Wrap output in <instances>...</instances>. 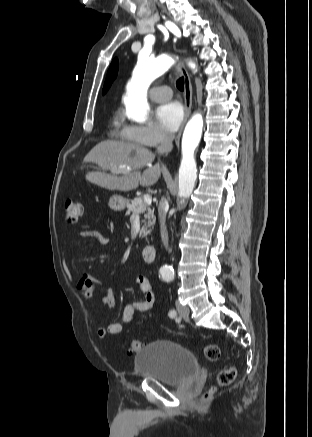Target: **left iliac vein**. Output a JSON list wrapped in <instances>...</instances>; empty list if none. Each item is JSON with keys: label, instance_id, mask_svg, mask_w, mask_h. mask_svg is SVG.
Masks as SVG:
<instances>
[{"label": "left iliac vein", "instance_id": "left-iliac-vein-1", "mask_svg": "<svg viewBox=\"0 0 312 437\" xmlns=\"http://www.w3.org/2000/svg\"><path fill=\"white\" fill-rule=\"evenodd\" d=\"M176 307L179 315L184 319H189L190 310L187 306H183L178 301L176 302Z\"/></svg>", "mask_w": 312, "mask_h": 437}]
</instances>
